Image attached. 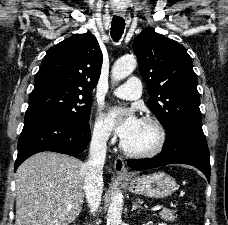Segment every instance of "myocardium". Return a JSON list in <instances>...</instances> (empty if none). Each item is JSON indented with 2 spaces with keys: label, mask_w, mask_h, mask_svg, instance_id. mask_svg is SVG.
Segmentation results:
<instances>
[{
  "label": "myocardium",
  "mask_w": 228,
  "mask_h": 225,
  "mask_svg": "<svg viewBox=\"0 0 228 225\" xmlns=\"http://www.w3.org/2000/svg\"><path fill=\"white\" fill-rule=\"evenodd\" d=\"M141 122H144L146 124H150L152 125L158 134V142L156 144L155 147L151 148V149H147V150H140V149H134L129 147L125 141L122 142L121 147L122 150L131 156H135V157H154L158 154H160L163 149L165 148L166 145V141H167V134H166V130L163 126V124L156 118L153 117H143Z\"/></svg>",
  "instance_id": "obj_1"
}]
</instances>
